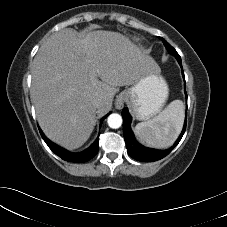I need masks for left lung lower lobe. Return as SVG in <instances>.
I'll return each mask as SVG.
<instances>
[{"instance_id":"0a47b994","label":"left lung lower lobe","mask_w":227,"mask_h":227,"mask_svg":"<svg viewBox=\"0 0 227 227\" xmlns=\"http://www.w3.org/2000/svg\"><path fill=\"white\" fill-rule=\"evenodd\" d=\"M179 64L182 68L181 62H179ZM182 74L184 77L183 70H182ZM185 94H186V90H185ZM122 117H123V134H124V139H125L128 154L132 158H134L138 161H146V162L157 161V160L164 158L166 155H168L181 140V138L185 132V129H186V121H187L185 119L183 130H182L181 135L179 136L178 140L175 142V144L171 148L163 151V150H155V149L146 148L136 141L134 134L130 128L132 118H131L127 108L123 109Z\"/></svg>"}]
</instances>
